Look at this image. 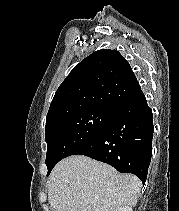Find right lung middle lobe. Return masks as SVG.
<instances>
[{
    "label": "right lung middle lobe",
    "mask_w": 179,
    "mask_h": 211,
    "mask_svg": "<svg viewBox=\"0 0 179 211\" xmlns=\"http://www.w3.org/2000/svg\"><path fill=\"white\" fill-rule=\"evenodd\" d=\"M113 109L89 108L52 121L45 127L46 165L49 174L61 159L92 142L114 114Z\"/></svg>",
    "instance_id": "dd1d6c3e"
}]
</instances>
